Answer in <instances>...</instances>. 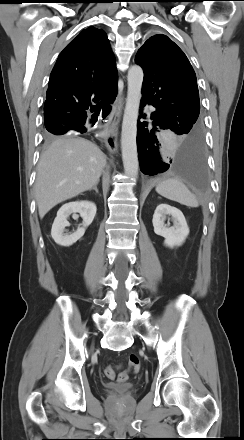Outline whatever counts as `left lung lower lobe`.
Instances as JSON below:
<instances>
[{
	"label": "left lung lower lobe",
	"mask_w": 244,
	"mask_h": 440,
	"mask_svg": "<svg viewBox=\"0 0 244 440\" xmlns=\"http://www.w3.org/2000/svg\"><path fill=\"white\" fill-rule=\"evenodd\" d=\"M146 104L141 100V108ZM142 113V112H141ZM145 114L142 115L145 118ZM152 126L148 122L137 123V150L142 173L156 175L167 170L184 177L191 185L202 188L206 177V161L203 134L187 137L179 150L171 153L168 143L159 133L170 129L158 111L151 114Z\"/></svg>",
	"instance_id": "1"
}]
</instances>
